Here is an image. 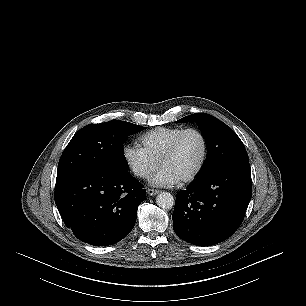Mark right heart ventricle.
<instances>
[{
    "label": "right heart ventricle",
    "mask_w": 306,
    "mask_h": 306,
    "mask_svg": "<svg viewBox=\"0 0 306 306\" xmlns=\"http://www.w3.org/2000/svg\"><path fill=\"white\" fill-rule=\"evenodd\" d=\"M182 130L181 127H158L143 134L140 140L145 150L159 162Z\"/></svg>",
    "instance_id": "obj_1"
}]
</instances>
